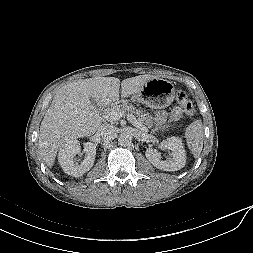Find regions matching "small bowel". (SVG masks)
Segmentation results:
<instances>
[{"instance_id": "small-bowel-1", "label": "small bowel", "mask_w": 253, "mask_h": 253, "mask_svg": "<svg viewBox=\"0 0 253 253\" xmlns=\"http://www.w3.org/2000/svg\"><path fill=\"white\" fill-rule=\"evenodd\" d=\"M181 114H182L181 109H179L178 107H175L172 113L170 114L169 118L172 120H177L180 118ZM167 119H168V115L165 112L156 113V121L158 124L165 122Z\"/></svg>"}]
</instances>
